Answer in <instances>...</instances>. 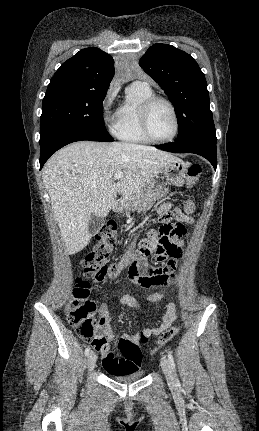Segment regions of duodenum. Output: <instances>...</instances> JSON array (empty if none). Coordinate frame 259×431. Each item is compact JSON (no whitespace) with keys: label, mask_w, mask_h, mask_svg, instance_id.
Segmentation results:
<instances>
[{"label":"duodenum","mask_w":259,"mask_h":431,"mask_svg":"<svg viewBox=\"0 0 259 431\" xmlns=\"http://www.w3.org/2000/svg\"><path fill=\"white\" fill-rule=\"evenodd\" d=\"M123 208V203L121 201H116L113 204V210L114 211H120Z\"/></svg>","instance_id":"410a0bca"}]
</instances>
